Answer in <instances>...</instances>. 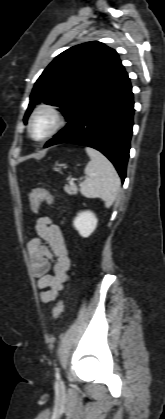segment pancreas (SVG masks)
I'll return each instance as SVG.
<instances>
[{
	"label": "pancreas",
	"mask_w": 165,
	"mask_h": 419,
	"mask_svg": "<svg viewBox=\"0 0 165 419\" xmlns=\"http://www.w3.org/2000/svg\"><path fill=\"white\" fill-rule=\"evenodd\" d=\"M64 190L69 195H75L78 192V188L74 184L65 185Z\"/></svg>",
	"instance_id": "obj_1"
}]
</instances>
